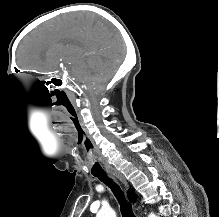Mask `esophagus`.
<instances>
[{
	"instance_id": "obj_1",
	"label": "esophagus",
	"mask_w": 219,
	"mask_h": 217,
	"mask_svg": "<svg viewBox=\"0 0 219 217\" xmlns=\"http://www.w3.org/2000/svg\"><path fill=\"white\" fill-rule=\"evenodd\" d=\"M107 173L113 179H115L116 181L120 182L124 186L125 189L129 188V184H128L127 180L125 179V177L119 171H117L114 168H108L107 169Z\"/></svg>"
}]
</instances>
